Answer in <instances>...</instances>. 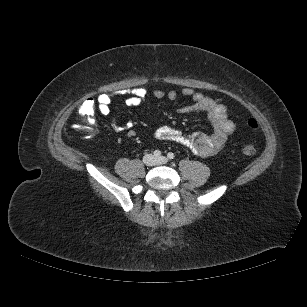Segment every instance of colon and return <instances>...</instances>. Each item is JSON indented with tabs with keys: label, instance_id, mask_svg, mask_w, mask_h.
<instances>
[{
	"label": "colon",
	"instance_id": "obj_1",
	"mask_svg": "<svg viewBox=\"0 0 307 307\" xmlns=\"http://www.w3.org/2000/svg\"><path fill=\"white\" fill-rule=\"evenodd\" d=\"M97 109V103L94 99L89 98L82 103L79 109V114L83 119V124L78 126L85 130L88 134H93L94 132V122L93 117ZM248 126L252 130H258L259 124L255 119H250L248 121ZM241 152L246 156H254L257 152L256 148L250 144H244L241 147Z\"/></svg>",
	"mask_w": 307,
	"mask_h": 307
}]
</instances>
